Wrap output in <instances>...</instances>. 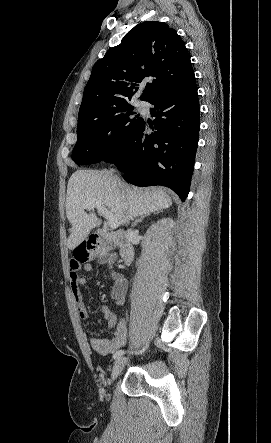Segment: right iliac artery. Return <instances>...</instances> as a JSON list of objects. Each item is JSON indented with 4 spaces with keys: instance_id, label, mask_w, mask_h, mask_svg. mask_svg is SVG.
Segmentation results:
<instances>
[{
    "instance_id": "1",
    "label": "right iliac artery",
    "mask_w": 271,
    "mask_h": 443,
    "mask_svg": "<svg viewBox=\"0 0 271 443\" xmlns=\"http://www.w3.org/2000/svg\"><path fill=\"white\" fill-rule=\"evenodd\" d=\"M146 348H147V345H146V347L143 348L142 350L136 352V354H139V353L144 352ZM123 354H125V351H124V350H118V351H116L115 354L113 355V358H114V359H118V358H120Z\"/></svg>"
}]
</instances>
